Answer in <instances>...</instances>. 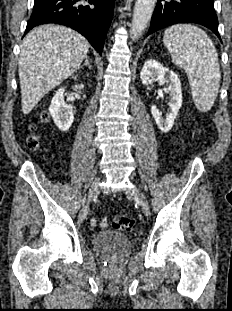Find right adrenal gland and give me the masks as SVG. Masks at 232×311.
I'll return each mask as SVG.
<instances>
[{
	"label": "right adrenal gland",
	"mask_w": 232,
	"mask_h": 311,
	"mask_svg": "<svg viewBox=\"0 0 232 311\" xmlns=\"http://www.w3.org/2000/svg\"><path fill=\"white\" fill-rule=\"evenodd\" d=\"M84 66H88V68L91 69V65H90V63H89V60H88V56H87V55H86V57H85V62L79 67V69L82 68V67H84Z\"/></svg>",
	"instance_id": "1"
}]
</instances>
